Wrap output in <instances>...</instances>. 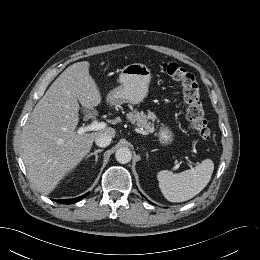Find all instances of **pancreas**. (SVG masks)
I'll use <instances>...</instances> for the list:
<instances>
[{"label": "pancreas", "instance_id": "cf45deb5", "mask_svg": "<svg viewBox=\"0 0 260 260\" xmlns=\"http://www.w3.org/2000/svg\"><path fill=\"white\" fill-rule=\"evenodd\" d=\"M127 119L132 124H136L137 126L144 128L149 133H153L155 131L154 124L149 121L156 120L154 113L149 112L148 114H145L144 112L139 113L138 111L134 110L133 112H129L127 114Z\"/></svg>", "mask_w": 260, "mask_h": 260}]
</instances>
